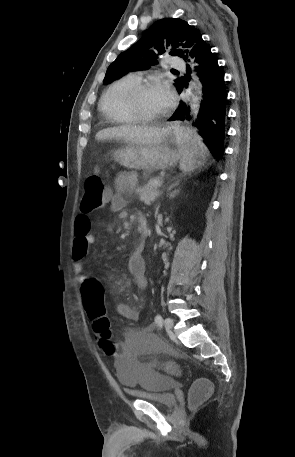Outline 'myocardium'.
I'll list each match as a JSON object with an SVG mask.
<instances>
[{
	"mask_svg": "<svg viewBox=\"0 0 295 457\" xmlns=\"http://www.w3.org/2000/svg\"><path fill=\"white\" fill-rule=\"evenodd\" d=\"M154 87L153 81H141L132 85L124 95V102L128 111L132 114L134 118L141 122H156L164 118L167 114V111L151 116L147 115L139 107L138 98L142 91Z\"/></svg>",
	"mask_w": 295,
	"mask_h": 457,
	"instance_id": "1",
	"label": "myocardium"
}]
</instances>
